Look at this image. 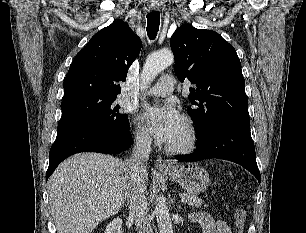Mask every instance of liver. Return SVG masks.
Returning <instances> with one entry per match:
<instances>
[{
  "label": "liver",
  "instance_id": "obj_1",
  "mask_svg": "<svg viewBox=\"0 0 306 233\" xmlns=\"http://www.w3.org/2000/svg\"><path fill=\"white\" fill-rule=\"evenodd\" d=\"M129 181L128 161L109 155L80 153L62 162L48 180L57 233H91L123 207Z\"/></svg>",
  "mask_w": 306,
  "mask_h": 233
}]
</instances>
